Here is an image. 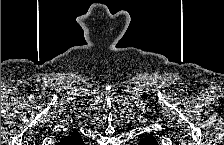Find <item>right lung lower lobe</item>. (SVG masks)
Listing matches in <instances>:
<instances>
[{
    "instance_id": "98d812e1",
    "label": "right lung lower lobe",
    "mask_w": 224,
    "mask_h": 145,
    "mask_svg": "<svg viewBox=\"0 0 224 145\" xmlns=\"http://www.w3.org/2000/svg\"><path fill=\"white\" fill-rule=\"evenodd\" d=\"M82 144H83V141L81 138L74 143V145H82Z\"/></svg>"
}]
</instances>
